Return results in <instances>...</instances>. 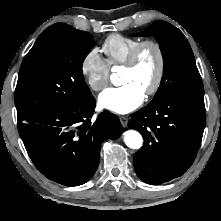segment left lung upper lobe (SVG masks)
<instances>
[{"label":"left lung upper lobe","instance_id":"obj_1","mask_svg":"<svg viewBox=\"0 0 221 221\" xmlns=\"http://www.w3.org/2000/svg\"><path fill=\"white\" fill-rule=\"evenodd\" d=\"M154 36L164 59L163 77L154 99L181 95L204 99L202 79L192 49L183 33L168 22L156 21L135 36Z\"/></svg>","mask_w":221,"mask_h":221}]
</instances>
